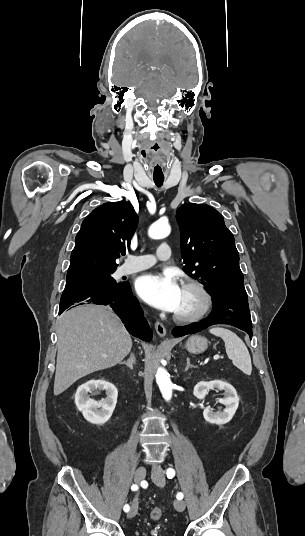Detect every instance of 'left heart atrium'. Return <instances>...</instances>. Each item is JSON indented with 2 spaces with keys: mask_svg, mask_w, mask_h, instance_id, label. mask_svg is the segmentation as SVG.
Listing matches in <instances>:
<instances>
[{
  "mask_svg": "<svg viewBox=\"0 0 305 536\" xmlns=\"http://www.w3.org/2000/svg\"><path fill=\"white\" fill-rule=\"evenodd\" d=\"M137 295L149 305L175 312L181 300V287L172 273H147L135 284Z\"/></svg>",
  "mask_w": 305,
  "mask_h": 536,
  "instance_id": "39dd6f15",
  "label": "left heart atrium"
}]
</instances>
